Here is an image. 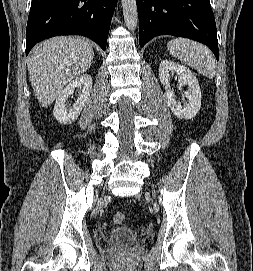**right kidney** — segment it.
I'll return each mask as SVG.
<instances>
[{"mask_svg":"<svg viewBox=\"0 0 253 271\" xmlns=\"http://www.w3.org/2000/svg\"><path fill=\"white\" fill-rule=\"evenodd\" d=\"M79 88L81 93L72 107H68L67 100L73 95L74 90ZM92 91V77L84 74L71 81L56 98L54 106V117L61 124H71L82 112Z\"/></svg>","mask_w":253,"mask_h":271,"instance_id":"obj_1","label":"right kidney"}]
</instances>
